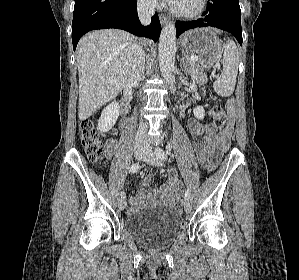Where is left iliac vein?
I'll return each instance as SVG.
<instances>
[{"instance_id": "obj_1", "label": "left iliac vein", "mask_w": 299, "mask_h": 280, "mask_svg": "<svg viewBox=\"0 0 299 280\" xmlns=\"http://www.w3.org/2000/svg\"><path fill=\"white\" fill-rule=\"evenodd\" d=\"M142 159H143V161L150 163L154 166H157V167L162 166V161L155 156V154L153 153L151 148H148L146 150L145 155ZM191 208H192V205L188 199L184 202V209L186 212H189V211H191Z\"/></svg>"}]
</instances>
